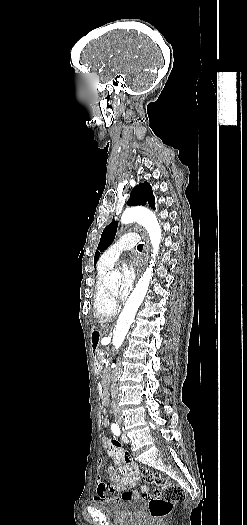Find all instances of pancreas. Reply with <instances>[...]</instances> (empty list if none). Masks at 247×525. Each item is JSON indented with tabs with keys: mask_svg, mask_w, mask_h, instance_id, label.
I'll list each match as a JSON object with an SVG mask.
<instances>
[{
	"mask_svg": "<svg viewBox=\"0 0 247 525\" xmlns=\"http://www.w3.org/2000/svg\"><path fill=\"white\" fill-rule=\"evenodd\" d=\"M100 353H103V349H96L95 360L101 361L103 359V356H100Z\"/></svg>",
	"mask_w": 247,
	"mask_h": 525,
	"instance_id": "obj_1",
	"label": "pancreas"
}]
</instances>
